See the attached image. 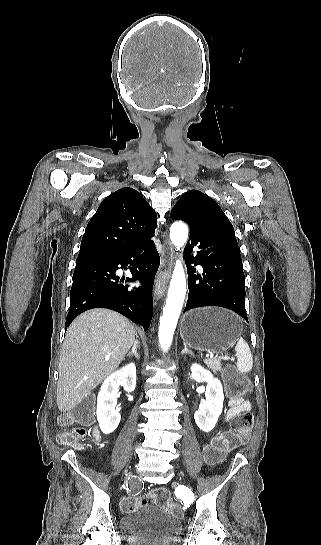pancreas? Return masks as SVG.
<instances>
[{
    "label": "pancreas",
    "instance_id": "cf45deb5",
    "mask_svg": "<svg viewBox=\"0 0 321 545\" xmlns=\"http://www.w3.org/2000/svg\"><path fill=\"white\" fill-rule=\"evenodd\" d=\"M204 363L215 375L217 371H222L221 359H205Z\"/></svg>",
    "mask_w": 321,
    "mask_h": 545
}]
</instances>
